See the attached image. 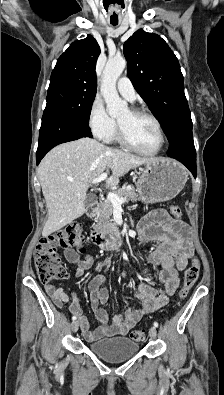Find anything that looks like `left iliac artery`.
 I'll return each instance as SVG.
<instances>
[{
  "label": "left iliac artery",
  "mask_w": 224,
  "mask_h": 395,
  "mask_svg": "<svg viewBox=\"0 0 224 395\" xmlns=\"http://www.w3.org/2000/svg\"><path fill=\"white\" fill-rule=\"evenodd\" d=\"M154 327H158V322L153 323Z\"/></svg>",
  "instance_id": "44dca946"
}]
</instances>
